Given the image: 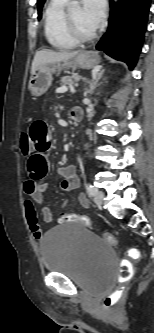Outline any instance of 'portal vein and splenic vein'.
<instances>
[{"label":"portal vein and splenic vein","mask_w":154,"mask_h":333,"mask_svg":"<svg viewBox=\"0 0 154 333\" xmlns=\"http://www.w3.org/2000/svg\"><path fill=\"white\" fill-rule=\"evenodd\" d=\"M67 88H62V89H58L57 92H66ZM71 91H74L73 87H71Z\"/></svg>","instance_id":"1"}]
</instances>
